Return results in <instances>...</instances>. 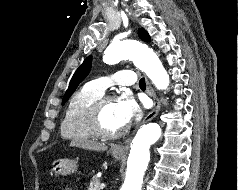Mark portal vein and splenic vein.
<instances>
[{
    "label": "portal vein and splenic vein",
    "mask_w": 238,
    "mask_h": 190,
    "mask_svg": "<svg viewBox=\"0 0 238 190\" xmlns=\"http://www.w3.org/2000/svg\"><path fill=\"white\" fill-rule=\"evenodd\" d=\"M106 187V185L104 184V183H102L101 185H100V188L101 189H104Z\"/></svg>",
    "instance_id": "obj_1"
}]
</instances>
